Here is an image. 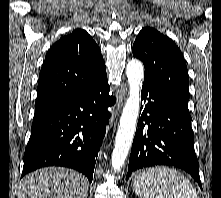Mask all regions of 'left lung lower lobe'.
<instances>
[{"label":"left lung lower lobe","instance_id":"1","mask_svg":"<svg viewBox=\"0 0 221 198\" xmlns=\"http://www.w3.org/2000/svg\"><path fill=\"white\" fill-rule=\"evenodd\" d=\"M141 100L145 106H141L127 179L141 168L172 165L190 173L202 189L189 111L149 81L143 83Z\"/></svg>","mask_w":221,"mask_h":198}]
</instances>
